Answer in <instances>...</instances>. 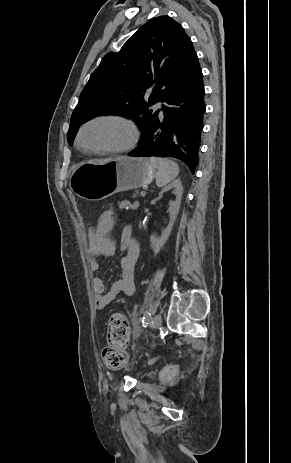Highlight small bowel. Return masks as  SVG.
<instances>
[{
	"label": "small bowel",
	"mask_w": 291,
	"mask_h": 463,
	"mask_svg": "<svg viewBox=\"0 0 291 463\" xmlns=\"http://www.w3.org/2000/svg\"><path fill=\"white\" fill-rule=\"evenodd\" d=\"M113 230V229H112ZM112 230L106 233L98 232V222L89 229L88 258L93 274L92 287L95 293V306L104 309L120 294L132 295L135 292L134 270L139 256V245L133 237L131 226H125L120 236V249L124 253L120 263V276L107 290L102 277L100 259L112 256L115 252V242L111 238Z\"/></svg>",
	"instance_id": "c3829d8e"
}]
</instances>
